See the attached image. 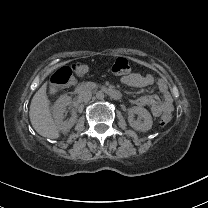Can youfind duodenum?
I'll list each match as a JSON object with an SVG mask.
<instances>
[{
  "instance_id": "410a0bca",
  "label": "duodenum",
  "mask_w": 208,
  "mask_h": 208,
  "mask_svg": "<svg viewBox=\"0 0 208 208\" xmlns=\"http://www.w3.org/2000/svg\"><path fill=\"white\" fill-rule=\"evenodd\" d=\"M93 88H94V84H92V83H82V84H79L76 87L75 91L77 93H82L84 91H87V90H90V89H93ZM103 91L106 94H108L110 97H112L113 99L118 100L121 97L120 92L116 89L105 87V88H103Z\"/></svg>"
}]
</instances>
